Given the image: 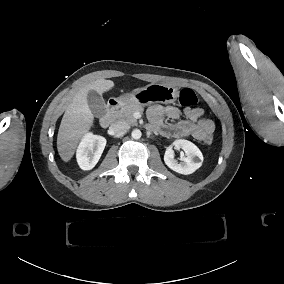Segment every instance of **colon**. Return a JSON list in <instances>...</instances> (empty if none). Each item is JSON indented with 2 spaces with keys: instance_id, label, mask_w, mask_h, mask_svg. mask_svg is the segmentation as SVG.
I'll list each match as a JSON object with an SVG mask.
<instances>
[{
  "instance_id": "obj_1",
  "label": "colon",
  "mask_w": 284,
  "mask_h": 284,
  "mask_svg": "<svg viewBox=\"0 0 284 284\" xmlns=\"http://www.w3.org/2000/svg\"><path fill=\"white\" fill-rule=\"evenodd\" d=\"M177 100L181 105L189 106L194 102L195 95L191 90L183 89L178 93ZM205 141H206V143H212L213 138L207 137Z\"/></svg>"
}]
</instances>
